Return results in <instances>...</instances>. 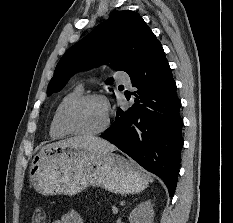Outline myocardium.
Masks as SVG:
<instances>
[{
  "label": "myocardium",
  "mask_w": 233,
  "mask_h": 223,
  "mask_svg": "<svg viewBox=\"0 0 233 223\" xmlns=\"http://www.w3.org/2000/svg\"><path fill=\"white\" fill-rule=\"evenodd\" d=\"M102 100L105 102L104 96L100 94H85L81 95L75 99H73L71 102H69L66 107L63 109L61 114V125L62 127L71 135L79 136V137H95L98 135H101L105 133L110 125H111V118L107 114V119L105 124L97 131L95 132H82L77 129H75L71 123V116L73 111L81 104L90 101V100Z\"/></svg>",
  "instance_id": "obj_1"
}]
</instances>
